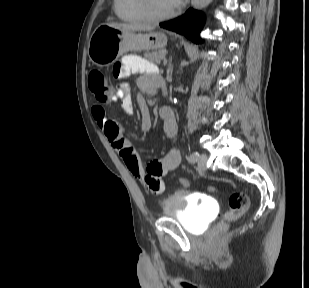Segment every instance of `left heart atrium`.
I'll return each instance as SVG.
<instances>
[{"instance_id": "obj_1", "label": "left heart atrium", "mask_w": 309, "mask_h": 288, "mask_svg": "<svg viewBox=\"0 0 309 288\" xmlns=\"http://www.w3.org/2000/svg\"><path fill=\"white\" fill-rule=\"evenodd\" d=\"M170 1L172 2L175 8L180 6L183 2V0H170Z\"/></svg>"}]
</instances>
